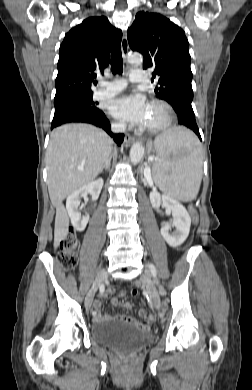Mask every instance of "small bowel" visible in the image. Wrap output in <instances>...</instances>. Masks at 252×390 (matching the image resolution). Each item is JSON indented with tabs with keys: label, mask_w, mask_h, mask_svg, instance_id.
Here are the masks:
<instances>
[{
	"label": "small bowel",
	"mask_w": 252,
	"mask_h": 390,
	"mask_svg": "<svg viewBox=\"0 0 252 390\" xmlns=\"http://www.w3.org/2000/svg\"><path fill=\"white\" fill-rule=\"evenodd\" d=\"M111 293H113V289L112 288H108L105 292H103L101 294V296L102 297H106V296L110 295ZM120 296L123 297L124 293H120ZM110 304L112 306H118L119 305V301H118V299L116 297H113L111 299V301H110ZM93 306H94V309H95V312H96V315L93 316V319L96 322H101V321H106V320H115V321L125 322V323H128V324H131V325H133L136 328H147V326L151 322H153V320H154V318L152 316L147 314V311H146V309L144 307H142L139 310V315L142 318V321H140V320H137L135 318H132V317L128 316L127 314H118V315H114V316L102 315L100 313L101 302L98 301V300L93 303ZM126 307L129 309L130 305L126 304Z\"/></svg>",
	"instance_id": "obj_1"
}]
</instances>
